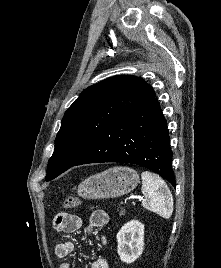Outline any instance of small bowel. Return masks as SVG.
<instances>
[{"label":"small bowel","instance_id":"1","mask_svg":"<svg viewBox=\"0 0 221 268\" xmlns=\"http://www.w3.org/2000/svg\"><path fill=\"white\" fill-rule=\"evenodd\" d=\"M108 223V215L104 210H95L89 217L87 230L92 233L96 229L105 226ZM83 222L79 216L60 213L55 216L53 225L54 228L58 231L71 233L75 232L81 228ZM100 244L102 247L106 245V238L100 236ZM74 249V244L70 241L58 242L54 247L55 255L58 258H65L69 256ZM60 268H70V265L67 262L61 264ZM88 268H109L108 262L104 258H97L94 260Z\"/></svg>","mask_w":221,"mask_h":268}]
</instances>
